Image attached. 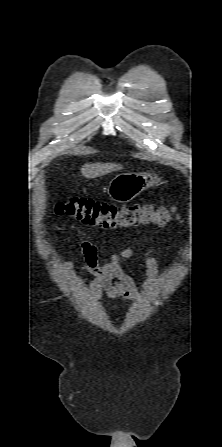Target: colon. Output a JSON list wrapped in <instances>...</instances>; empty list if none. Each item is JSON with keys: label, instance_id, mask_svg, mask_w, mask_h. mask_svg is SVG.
I'll use <instances>...</instances> for the list:
<instances>
[{"label": "colon", "instance_id": "obj_1", "mask_svg": "<svg viewBox=\"0 0 222 447\" xmlns=\"http://www.w3.org/2000/svg\"><path fill=\"white\" fill-rule=\"evenodd\" d=\"M56 211L60 215L73 217L86 225L110 229L150 223L165 226L177 216L176 206L158 209L143 204L118 206L113 203L78 197L59 202Z\"/></svg>", "mask_w": 222, "mask_h": 447}]
</instances>
